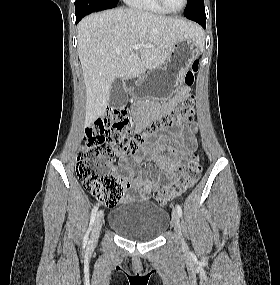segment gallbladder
Returning <instances> with one entry per match:
<instances>
[{
  "instance_id": "1",
  "label": "gallbladder",
  "mask_w": 280,
  "mask_h": 285,
  "mask_svg": "<svg viewBox=\"0 0 280 285\" xmlns=\"http://www.w3.org/2000/svg\"><path fill=\"white\" fill-rule=\"evenodd\" d=\"M128 102V94L121 79L116 78L111 86L109 105L113 108L124 107Z\"/></svg>"
}]
</instances>
